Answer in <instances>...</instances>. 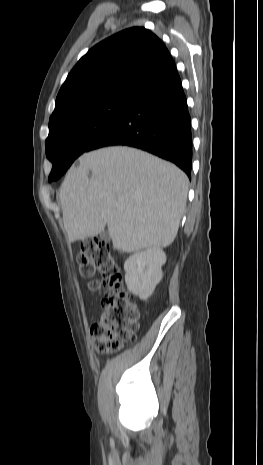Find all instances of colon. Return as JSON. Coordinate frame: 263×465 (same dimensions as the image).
<instances>
[{"mask_svg": "<svg viewBox=\"0 0 263 465\" xmlns=\"http://www.w3.org/2000/svg\"><path fill=\"white\" fill-rule=\"evenodd\" d=\"M83 277L91 279V289L100 283L93 279L98 272L109 290L102 300L103 312L91 328L96 349L107 354L117 351L124 341H131L139 327V313L122 287V275L106 242L97 238L85 240L77 256Z\"/></svg>", "mask_w": 263, "mask_h": 465, "instance_id": "obj_1", "label": "colon"}]
</instances>
